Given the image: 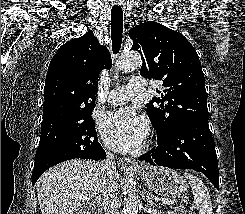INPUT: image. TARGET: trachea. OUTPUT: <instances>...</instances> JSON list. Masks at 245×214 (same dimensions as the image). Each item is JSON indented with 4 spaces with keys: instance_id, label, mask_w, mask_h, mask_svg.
Returning a JSON list of instances; mask_svg holds the SVG:
<instances>
[{
    "instance_id": "obj_1",
    "label": "trachea",
    "mask_w": 245,
    "mask_h": 214,
    "mask_svg": "<svg viewBox=\"0 0 245 214\" xmlns=\"http://www.w3.org/2000/svg\"><path fill=\"white\" fill-rule=\"evenodd\" d=\"M123 32V12L120 6L114 5L111 10L112 50L117 54L121 48Z\"/></svg>"
}]
</instances>
